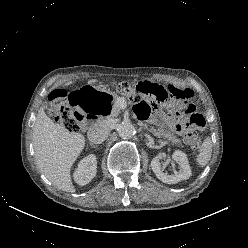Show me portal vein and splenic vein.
Masks as SVG:
<instances>
[{"mask_svg": "<svg viewBox=\"0 0 248 248\" xmlns=\"http://www.w3.org/2000/svg\"><path fill=\"white\" fill-rule=\"evenodd\" d=\"M121 108H122V109H125V108H126V105H122Z\"/></svg>", "mask_w": 248, "mask_h": 248, "instance_id": "obj_1", "label": "portal vein and splenic vein"}]
</instances>
